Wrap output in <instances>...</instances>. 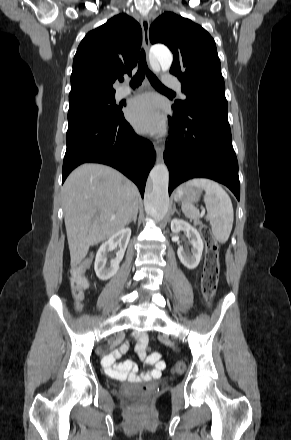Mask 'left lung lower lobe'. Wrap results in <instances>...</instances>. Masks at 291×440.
<instances>
[{
	"label": "left lung lower lobe",
	"mask_w": 291,
	"mask_h": 440,
	"mask_svg": "<svg viewBox=\"0 0 291 440\" xmlns=\"http://www.w3.org/2000/svg\"><path fill=\"white\" fill-rule=\"evenodd\" d=\"M227 112V108L194 105L169 117L171 135L164 152L169 194L188 179L204 177L226 185L240 200L238 162Z\"/></svg>",
	"instance_id": "1"
}]
</instances>
